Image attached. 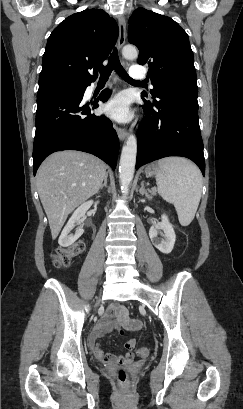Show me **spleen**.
<instances>
[{"label": "spleen", "mask_w": 243, "mask_h": 409, "mask_svg": "<svg viewBox=\"0 0 243 409\" xmlns=\"http://www.w3.org/2000/svg\"><path fill=\"white\" fill-rule=\"evenodd\" d=\"M156 184L161 197L174 204L182 226L189 225L195 217L201 192L202 175L191 161L169 157L158 161Z\"/></svg>", "instance_id": "1"}]
</instances>
